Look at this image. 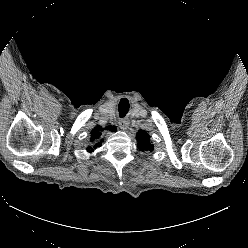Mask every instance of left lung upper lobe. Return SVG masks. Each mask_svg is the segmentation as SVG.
Wrapping results in <instances>:
<instances>
[{
  "label": "left lung upper lobe",
  "instance_id": "obj_1",
  "mask_svg": "<svg viewBox=\"0 0 248 248\" xmlns=\"http://www.w3.org/2000/svg\"><path fill=\"white\" fill-rule=\"evenodd\" d=\"M136 139L138 141V148L142 151H152L153 145L150 142V136L143 130L138 131Z\"/></svg>",
  "mask_w": 248,
  "mask_h": 248
}]
</instances>
